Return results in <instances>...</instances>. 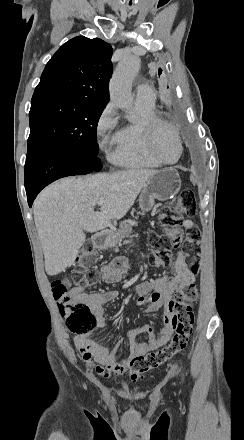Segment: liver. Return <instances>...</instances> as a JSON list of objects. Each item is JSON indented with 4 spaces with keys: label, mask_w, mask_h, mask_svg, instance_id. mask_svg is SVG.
Instances as JSON below:
<instances>
[{
    "label": "liver",
    "mask_w": 244,
    "mask_h": 440,
    "mask_svg": "<svg viewBox=\"0 0 244 440\" xmlns=\"http://www.w3.org/2000/svg\"><path fill=\"white\" fill-rule=\"evenodd\" d=\"M156 172L131 168L115 174L71 176L45 188L33 204V214L46 274L57 276L74 262L85 244V232H99L112 220L124 218ZM100 198L104 204L100 212H94Z\"/></svg>",
    "instance_id": "obj_1"
}]
</instances>
